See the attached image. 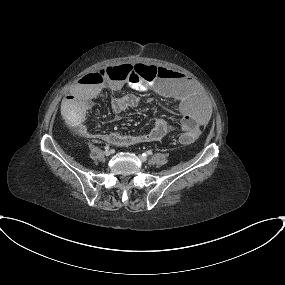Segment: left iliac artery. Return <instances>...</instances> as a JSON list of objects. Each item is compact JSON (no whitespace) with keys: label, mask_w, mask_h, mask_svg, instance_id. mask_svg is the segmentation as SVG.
Returning <instances> with one entry per match:
<instances>
[{"label":"left iliac artery","mask_w":285,"mask_h":285,"mask_svg":"<svg viewBox=\"0 0 285 285\" xmlns=\"http://www.w3.org/2000/svg\"><path fill=\"white\" fill-rule=\"evenodd\" d=\"M153 153H152V151H146L145 153H143L142 155L143 156H148V155H152Z\"/></svg>","instance_id":"44dca946"}]
</instances>
